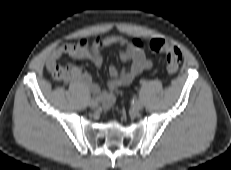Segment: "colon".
I'll list each match as a JSON object with an SVG mask.
<instances>
[{
	"label": "colon",
	"instance_id": "obj_1",
	"mask_svg": "<svg viewBox=\"0 0 231 170\" xmlns=\"http://www.w3.org/2000/svg\"><path fill=\"white\" fill-rule=\"evenodd\" d=\"M148 47L154 53H161L165 55L167 71L169 74L178 72L181 66V52L178 47L169 44L163 39H152ZM81 70L73 65H54L50 72L55 80L60 83H66L69 79L77 75Z\"/></svg>",
	"mask_w": 231,
	"mask_h": 170
}]
</instances>
